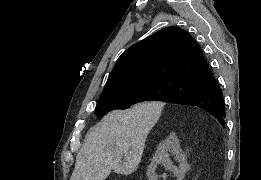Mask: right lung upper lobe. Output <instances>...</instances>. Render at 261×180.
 I'll use <instances>...</instances> for the list:
<instances>
[{
	"label": "right lung upper lobe",
	"instance_id": "right-lung-upper-lobe-1",
	"mask_svg": "<svg viewBox=\"0 0 261 180\" xmlns=\"http://www.w3.org/2000/svg\"><path fill=\"white\" fill-rule=\"evenodd\" d=\"M209 74L208 63L192 36L178 27H166L121 54L102 94L160 80L200 83Z\"/></svg>",
	"mask_w": 261,
	"mask_h": 180
}]
</instances>
